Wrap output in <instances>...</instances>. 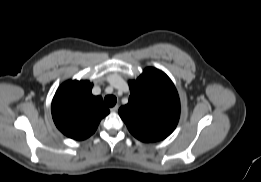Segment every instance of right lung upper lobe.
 I'll list each match as a JSON object with an SVG mask.
<instances>
[{"instance_id": "right-lung-upper-lobe-1", "label": "right lung upper lobe", "mask_w": 261, "mask_h": 182, "mask_svg": "<svg viewBox=\"0 0 261 182\" xmlns=\"http://www.w3.org/2000/svg\"><path fill=\"white\" fill-rule=\"evenodd\" d=\"M89 81H67L63 83L52 101V117L57 128L67 137L84 140L97 129L109 109L100 96L91 93Z\"/></svg>"}]
</instances>
